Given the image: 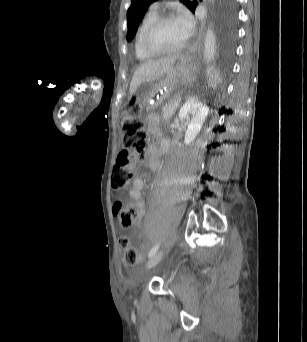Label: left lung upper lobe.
I'll return each mask as SVG.
<instances>
[{"mask_svg": "<svg viewBox=\"0 0 307 342\" xmlns=\"http://www.w3.org/2000/svg\"><path fill=\"white\" fill-rule=\"evenodd\" d=\"M156 0H131V6L127 11L128 34L127 40H131L139 26L148 6ZM182 1L191 11H195L197 2L188 0ZM218 7V31L219 46L223 53L230 54L233 50V43L236 35V9L235 0H219Z\"/></svg>", "mask_w": 307, "mask_h": 342, "instance_id": "1", "label": "left lung upper lobe"}]
</instances>
